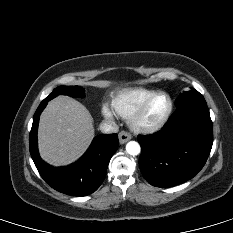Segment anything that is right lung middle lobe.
I'll return each mask as SVG.
<instances>
[{"mask_svg":"<svg viewBox=\"0 0 233 233\" xmlns=\"http://www.w3.org/2000/svg\"><path fill=\"white\" fill-rule=\"evenodd\" d=\"M59 94H67L73 97H83L84 93H83V89L81 87L78 86H59L57 88H55L53 90V92L47 96L44 100L49 101L53 98H55L56 96H58Z\"/></svg>","mask_w":233,"mask_h":233,"instance_id":"right-lung-middle-lobe-1","label":"right lung middle lobe"}]
</instances>
